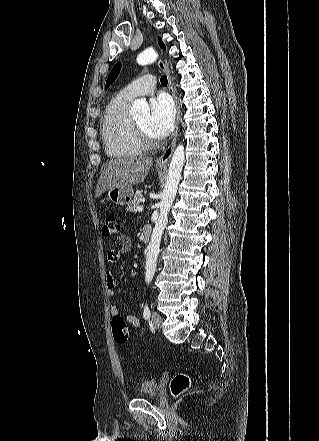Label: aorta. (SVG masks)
Here are the masks:
<instances>
[{
	"label": "aorta",
	"instance_id": "obj_1",
	"mask_svg": "<svg viewBox=\"0 0 319 441\" xmlns=\"http://www.w3.org/2000/svg\"><path fill=\"white\" fill-rule=\"evenodd\" d=\"M158 54L152 50L147 49L140 53L137 57V63L139 65H148L156 61ZM130 114L133 117L149 116V105L144 99H137L134 101ZM184 164V146L179 144L172 156L168 177L165 183V187L162 193V199L160 202V213L155 227L153 229L149 245L146 253V265H145V281L150 283L154 277L157 258L159 254V247L162 238L163 231L168 223V214L173 201L176 196L177 188L181 179L182 167Z\"/></svg>",
	"mask_w": 319,
	"mask_h": 441
}]
</instances>
